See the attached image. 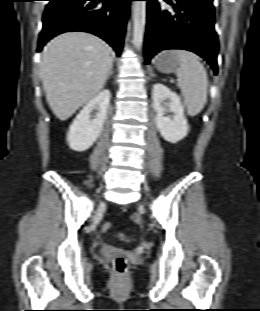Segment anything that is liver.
I'll return each instance as SVG.
<instances>
[{"instance_id":"6515ba94","label":"liver","mask_w":260,"mask_h":311,"mask_svg":"<svg viewBox=\"0 0 260 311\" xmlns=\"http://www.w3.org/2000/svg\"><path fill=\"white\" fill-rule=\"evenodd\" d=\"M113 62L111 47L85 32H68L44 48L40 77L46 100L64 121L103 88Z\"/></svg>"}]
</instances>
